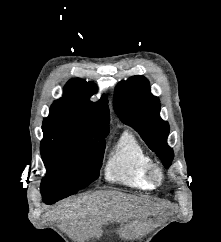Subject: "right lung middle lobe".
I'll return each instance as SVG.
<instances>
[{
	"instance_id": "1",
	"label": "right lung middle lobe",
	"mask_w": 221,
	"mask_h": 242,
	"mask_svg": "<svg viewBox=\"0 0 221 242\" xmlns=\"http://www.w3.org/2000/svg\"><path fill=\"white\" fill-rule=\"evenodd\" d=\"M43 134L40 152L47 175L41 189L78 191L98 178L105 137L66 129H43Z\"/></svg>"
}]
</instances>
